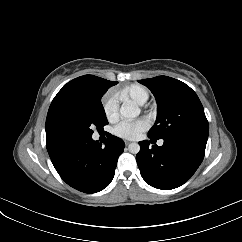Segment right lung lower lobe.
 Here are the masks:
<instances>
[{
    "label": "right lung lower lobe",
    "instance_id": "obj_1",
    "mask_svg": "<svg viewBox=\"0 0 242 242\" xmlns=\"http://www.w3.org/2000/svg\"><path fill=\"white\" fill-rule=\"evenodd\" d=\"M46 147L56 171L68 185L96 193L112 181L125 144L110 136L102 147L92 136L77 132L47 139Z\"/></svg>",
    "mask_w": 242,
    "mask_h": 242
}]
</instances>
